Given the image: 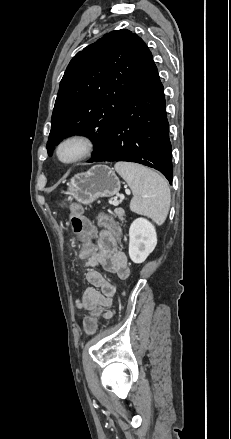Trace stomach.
<instances>
[{
  "label": "stomach",
  "mask_w": 231,
  "mask_h": 439,
  "mask_svg": "<svg viewBox=\"0 0 231 439\" xmlns=\"http://www.w3.org/2000/svg\"><path fill=\"white\" fill-rule=\"evenodd\" d=\"M66 194L83 205H90L100 197H112L120 190V180L105 165H96L84 173L72 177Z\"/></svg>",
  "instance_id": "1"
}]
</instances>
